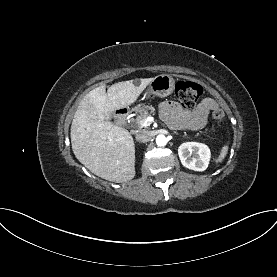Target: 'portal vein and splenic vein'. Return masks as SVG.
I'll return each instance as SVG.
<instances>
[{
  "label": "portal vein and splenic vein",
  "instance_id": "1",
  "mask_svg": "<svg viewBox=\"0 0 277 277\" xmlns=\"http://www.w3.org/2000/svg\"><path fill=\"white\" fill-rule=\"evenodd\" d=\"M153 120H154L153 117L148 116L147 118H145V119L142 121L141 126H143V127L149 126Z\"/></svg>",
  "mask_w": 277,
  "mask_h": 277
}]
</instances>
